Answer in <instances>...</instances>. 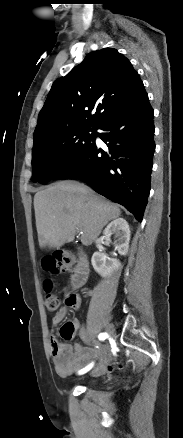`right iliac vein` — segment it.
<instances>
[{
    "mask_svg": "<svg viewBox=\"0 0 183 438\" xmlns=\"http://www.w3.org/2000/svg\"><path fill=\"white\" fill-rule=\"evenodd\" d=\"M106 332H107L110 336H112V337L115 336V331H114V329H113V327H112L111 325H108V326L106 327ZM92 374H95V370L92 371Z\"/></svg>",
    "mask_w": 183,
    "mask_h": 438,
    "instance_id": "right-iliac-vein-1",
    "label": "right iliac vein"
}]
</instances>
